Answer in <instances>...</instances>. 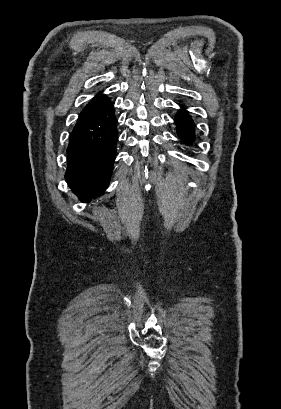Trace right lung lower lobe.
Here are the masks:
<instances>
[{"label":"right lung lower lobe","mask_w":281,"mask_h":409,"mask_svg":"<svg viewBox=\"0 0 281 409\" xmlns=\"http://www.w3.org/2000/svg\"><path fill=\"white\" fill-rule=\"evenodd\" d=\"M116 126L113 103L98 94L79 114L70 134L65 178L83 202L100 196L109 184L116 157Z\"/></svg>","instance_id":"obj_1"}]
</instances>
